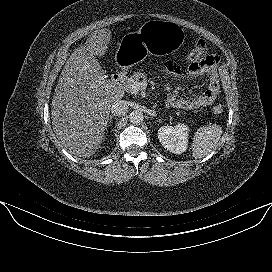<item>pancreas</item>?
<instances>
[{"instance_id":"cf45deb5","label":"pancreas","mask_w":272,"mask_h":272,"mask_svg":"<svg viewBox=\"0 0 272 272\" xmlns=\"http://www.w3.org/2000/svg\"><path fill=\"white\" fill-rule=\"evenodd\" d=\"M147 75L143 72H135L130 78H128L125 82L126 89L132 93V94H138L139 90H141L139 87L136 88V90H133L131 88H128V86L136 85L140 82V80H146Z\"/></svg>"}]
</instances>
